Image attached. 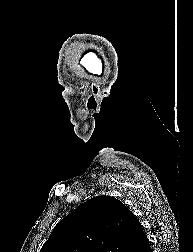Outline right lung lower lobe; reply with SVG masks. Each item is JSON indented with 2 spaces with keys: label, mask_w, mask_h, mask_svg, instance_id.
Segmentation results:
<instances>
[{
  "label": "right lung lower lobe",
  "mask_w": 193,
  "mask_h": 252,
  "mask_svg": "<svg viewBox=\"0 0 193 252\" xmlns=\"http://www.w3.org/2000/svg\"><path fill=\"white\" fill-rule=\"evenodd\" d=\"M129 252H152L146 235H143L139 242Z\"/></svg>",
  "instance_id": "98d812e1"
}]
</instances>
